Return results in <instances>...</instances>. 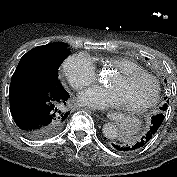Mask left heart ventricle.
Returning <instances> with one entry per match:
<instances>
[{"label":"left heart ventricle","mask_w":177,"mask_h":177,"mask_svg":"<svg viewBox=\"0 0 177 177\" xmlns=\"http://www.w3.org/2000/svg\"><path fill=\"white\" fill-rule=\"evenodd\" d=\"M108 85L118 92L122 105L139 104L146 100L153 90L152 83L145 78L122 79L118 74Z\"/></svg>","instance_id":"1"}]
</instances>
